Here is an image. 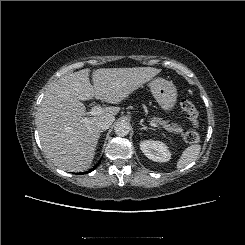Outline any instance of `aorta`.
Wrapping results in <instances>:
<instances>
[{"label":"aorta","mask_w":245,"mask_h":245,"mask_svg":"<svg viewBox=\"0 0 245 245\" xmlns=\"http://www.w3.org/2000/svg\"><path fill=\"white\" fill-rule=\"evenodd\" d=\"M130 123L127 121H119L116 123L115 127H114V131L116 133V135L124 137L126 135L129 134L130 132Z\"/></svg>","instance_id":"1"}]
</instances>
